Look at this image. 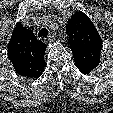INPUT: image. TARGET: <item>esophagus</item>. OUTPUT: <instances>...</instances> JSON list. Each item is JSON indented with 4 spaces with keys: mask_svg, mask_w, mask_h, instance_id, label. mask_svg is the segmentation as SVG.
I'll use <instances>...</instances> for the list:
<instances>
[{
    "mask_svg": "<svg viewBox=\"0 0 113 113\" xmlns=\"http://www.w3.org/2000/svg\"><path fill=\"white\" fill-rule=\"evenodd\" d=\"M54 39H55L54 35L51 34V35H49L48 38H46L45 40H46L47 42H52Z\"/></svg>",
    "mask_w": 113,
    "mask_h": 113,
    "instance_id": "34e87169",
    "label": "esophagus"
}]
</instances>
